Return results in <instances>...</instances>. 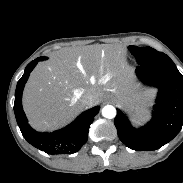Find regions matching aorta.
Here are the masks:
<instances>
[{
  "mask_svg": "<svg viewBox=\"0 0 183 183\" xmlns=\"http://www.w3.org/2000/svg\"><path fill=\"white\" fill-rule=\"evenodd\" d=\"M102 115L105 118L113 119L116 116V109L112 105H106L102 109Z\"/></svg>",
  "mask_w": 183,
  "mask_h": 183,
  "instance_id": "762f6f07",
  "label": "aorta"
}]
</instances>
